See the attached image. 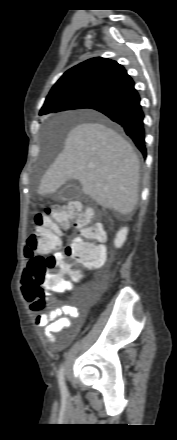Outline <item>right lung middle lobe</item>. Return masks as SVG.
Wrapping results in <instances>:
<instances>
[{
    "mask_svg": "<svg viewBox=\"0 0 177 440\" xmlns=\"http://www.w3.org/2000/svg\"><path fill=\"white\" fill-rule=\"evenodd\" d=\"M96 100L95 96L79 92H61L46 98L40 111V115L63 110L86 108Z\"/></svg>",
    "mask_w": 177,
    "mask_h": 440,
    "instance_id": "dd1d6c3e",
    "label": "right lung middle lobe"
}]
</instances>
